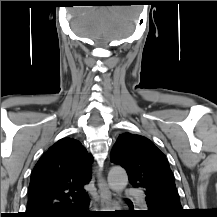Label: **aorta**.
Segmentation results:
<instances>
[{"label": "aorta", "mask_w": 217, "mask_h": 217, "mask_svg": "<svg viewBox=\"0 0 217 217\" xmlns=\"http://www.w3.org/2000/svg\"><path fill=\"white\" fill-rule=\"evenodd\" d=\"M108 184L117 193L124 190L128 184L126 171L121 167H112L108 173Z\"/></svg>", "instance_id": "1"}]
</instances>
